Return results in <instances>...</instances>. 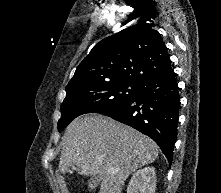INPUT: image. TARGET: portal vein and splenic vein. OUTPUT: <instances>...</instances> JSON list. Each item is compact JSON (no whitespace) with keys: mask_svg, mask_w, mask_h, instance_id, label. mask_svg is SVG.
Wrapping results in <instances>:
<instances>
[{"mask_svg":"<svg viewBox=\"0 0 221 193\" xmlns=\"http://www.w3.org/2000/svg\"><path fill=\"white\" fill-rule=\"evenodd\" d=\"M108 171H114V169L113 168H108ZM118 171V170H117Z\"/></svg>","mask_w":221,"mask_h":193,"instance_id":"obj_1","label":"portal vein and splenic vein"}]
</instances>
